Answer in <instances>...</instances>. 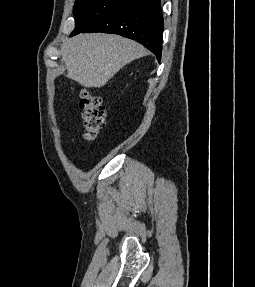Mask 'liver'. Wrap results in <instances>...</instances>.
<instances>
[{"mask_svg": "<svg viewBox=\"0 0 255 287\" xmlns=\"http://www.w3.org/2000/svg\"><path fill=\"white\" fill-rule=\"evenodd\" d=\"M62 50L68 76L85 88H102L120 68L147 54L141 44L110 34H79Z\"/></svg>", "mask_w": 255, "mask_h": 287, "instance_id": "1", "label": "liver"}]
</instances>
